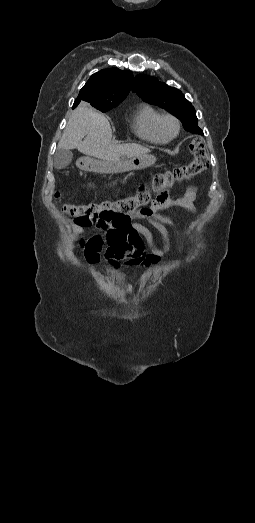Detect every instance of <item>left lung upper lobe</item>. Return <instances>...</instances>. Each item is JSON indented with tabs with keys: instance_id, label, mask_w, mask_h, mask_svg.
<instances>
[{
	"instance_id": "1",
	"label": "left lung upper lobe",
	"mask_w": 255,
	"mask_h": 523,
	"mask_svg": "<svg viewBox=\"0 0 255 523\" xmlns=\"http://www.w3.org/2000/svg\"><path fill=\"white\" fill-rule=\"evenodd\" d=\"M133 90L144 101L158 105L180 119L185 130L203 135L202 130L197 126L198 119L194 107L178 89L140 74L135 77Z\"/></svg>"
}]
</instances>
